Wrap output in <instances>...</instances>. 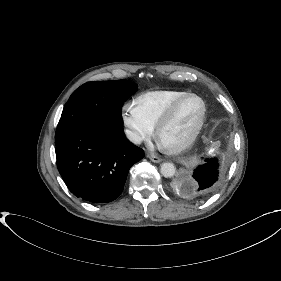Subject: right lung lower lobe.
Masks as SVG:
<instances>
[{"mask_svg":"<svg viewBox=\"0 0 281 281\" xmlns=\"http://www.w3.org/2000/svg\"><path fill=\"white\" fill-rule=\"evenodd\" d=\"M57 167L68 189L92 203L115 200L123 191L130 167L144 157L122 127L91 126L55 136Z\"/></svg>","mask_w":281,"mask_h":281,"instance_id":"obj_1","label":"right lung lower lobe"}]
</instances>
